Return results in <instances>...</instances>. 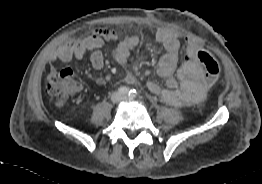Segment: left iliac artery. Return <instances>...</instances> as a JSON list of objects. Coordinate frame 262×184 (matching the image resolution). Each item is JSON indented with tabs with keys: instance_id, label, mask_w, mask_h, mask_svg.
<instances>
[{
	"instance_id": "left-iliac-artery-1",
	"label": "left iliac artery",
	"mask_w": 262,
	"mask_h": 184,
	"mask_svg": "<svg viewBox=\"0 0 262 184\" xmlns=\"http://www.w3.org/2000/svg\"><path fill=\"white\" fill-rule=\"evenodd\" d=\"M128 96H129L130 99L136 98L137 91L135 89H133Z\"/></svg>"
}]
</instances>
